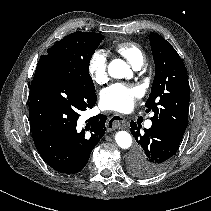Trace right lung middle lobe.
I'll use <instances>...</instances> for the list:
<instances>
[{
	"mask_svg": "<svg viewBox=\"0 0 211 211\" xmlns=\"http://www.w3.org/2000/svg\"><path fill=\"white\" fill-rule=\"evenodd\" d=\"M104 36L93 32H74L56 42L39 59L37 67H50L71 78L88 92H95L89 75V62Z\"/></svg>",
	"mask_w": 211,
	"mask_h": 211,
	"instance_id": "obj_1",
	"label": "right lung middle lobe"
}]
</instances>
